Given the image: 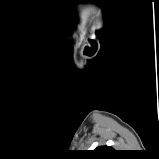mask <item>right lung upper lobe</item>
I'll return each instance as SVG.
<instances>
[{"mask_svg":"<svg viewBox=\"0 0 159 159\" xmlns=\"http://www.w3.org/2000/svg\"><path fill=\"white\" fill-rule=\"evenodd\" d=\"M109 150H112V148L107 147V146H102V147H98L95 149V151H98V152H105V151H109Z\"/></svg>","mask_w":159,"mask_h":159,"instance_id":"right-lung-upper-lobe-1","label":"right lung upper lobe"}]
</instances>
